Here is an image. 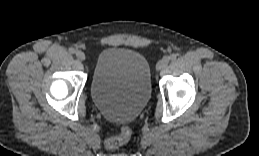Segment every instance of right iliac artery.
Instances as JSON below:
<instances>
[{
  "label": "right iliac artery",
  "instance_id": "right-iliac-artery-1",
  "mask_svg": "<svg viewBox=\"0 0 259 156\" xmlns=\"http://www.w3.org/2000/svg\"><path fill=\"white\" fill-rule=\"evenodd\" d=\"M75 52H76V50H75L74 48H72V47L69 48V53H70V54H74Z\"/></svg>",
  "mask_w": 259,
  "mask_h": 156
}]
</instances>
